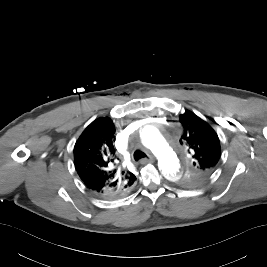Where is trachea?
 <instances>
[{
  "mask_svg": "<svg viewBox=\"0 0 267 267\" xmlns=\"http://www.w3.org/2000/svg\"><path fill=\"white\" fill-rule=\"evenodd\" d=\"M133 158L135 161H139L142 158H147V155L143 151L138 149L134 152Z\"/></svg>",
  "mask_w": 267,
  "mask_h": 267,
  "instance_id": "1",
  "label": "trachea"
}]
</instances>
